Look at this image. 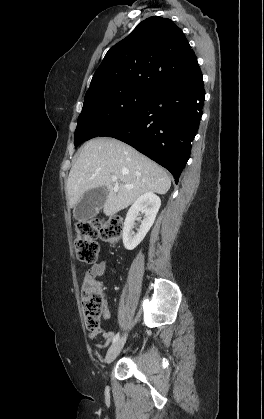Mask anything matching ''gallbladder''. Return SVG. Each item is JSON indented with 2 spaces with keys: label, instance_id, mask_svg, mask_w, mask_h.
Listing matches in <instances>:
<instances>
[{
  "label": "gallbladder",
  "instance_id": "obj_1",
  "mask_svg": "<svg viewBox=\"0 0 264 419\" xmlns=\"http://www.w3.org/2000/svg\"><path fill=\"white\" fill-rule=\"evenodd\" d=\"M107 197L104 187L90 189L83 194L74 208V217L78 221H88L95 217L103 207Z\"/></svg>",
  "mask_w": 264,
  "mask_h": 419
}]
</instances>
